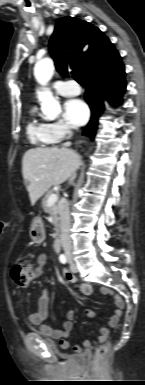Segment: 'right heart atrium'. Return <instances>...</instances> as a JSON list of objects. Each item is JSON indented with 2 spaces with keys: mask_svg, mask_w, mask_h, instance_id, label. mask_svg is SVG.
<instances>
[{
  "mask_svg": "<svg viewBox=\"0 0 145 385\" xmlns=\"http://www.w3.org/2000/svg\"><path fill=\"white\" fill-rule=\"evenodd\" d=\"M48 128L53 143L60 142L72 131V127L63 120H58L48 124Z\"/></svg>",
  "mask_w": 145,
  "mask_h": 385,
  "instance_id": "obj_1",
  "label": "right heart atrium"
}]
</instances>
